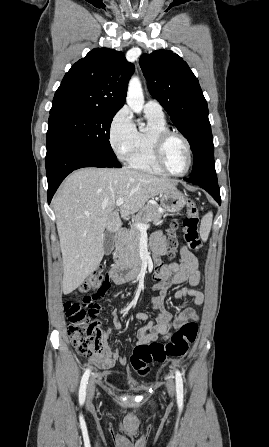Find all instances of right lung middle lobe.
I'll list each match as a JSON object with an SVG mask.
<instances>
[{
  "label": "right lung middle lobe",
  "mask_w": 269,
  "mask_h": 447,
  "mask_svg": "<svg viewBox=\"0 0 269 447\" xmlns=\"http://www.w3.org/2000/svg\"><path fill=\"white\" fill-rule=\"evenodd\" d=\"M115 114L116 112L110 111L50 113L47 134L116 157L109 142L110 125Z\"/></svg>",
  "instance_id": "1"
}]
</instances>
